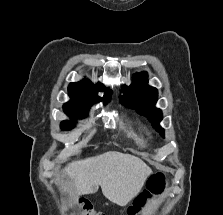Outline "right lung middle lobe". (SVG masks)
Listing matches in <instances>:
<instances>
[{"label": "right lung middle lobe", "mask_w": 223, "mask_h": 215, "mask_svg": "<svg viewBox=\"0 0 223 215\" xmlns=\"http://www.w3.org/2000/svg\"><path fill=\"white\" fill-rule=\"evenodd\" d=\"M89 108H76V109H67L64 108V112L72 118H83L86 116ZM75 127V123L73 121H62L61 128L63 130H70Z\"/></svg>", "instance_id": "obj_1"}]
</instances>
